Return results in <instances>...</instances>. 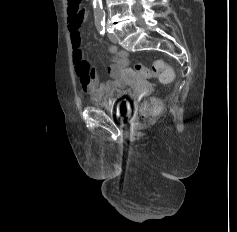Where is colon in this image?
Masks as SVG:
<instances>
[{
    "label": "colon",
    "instance_id": "obj_1",
    "mask_svg": "<svg viewBox=\"0 0 237 232\" xmlns=\"http://www.w3.org/2000/svg\"><path fill=\"white\" fill-rule=\"evenodd\" d=\"M69 14L73 17H82L84 15V8L81 0H68ZM137 73L147 79H158L162 83H169L173 80V69L165 64L163 61L157 60L150 68L144 67L140 64L135 66ZM159 110V103L155 100L144 103L142 107V115L151 119L157 114Z\"/></svg>",
    "mask_w": 237,
    "mask_h": 232
}]
</instances>
